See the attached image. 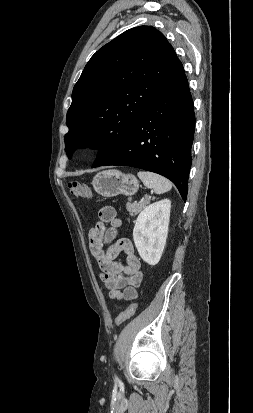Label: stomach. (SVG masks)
I'll list each match as a JSON object with an SVG mask.
<instances>
[{
	"label": "stomach",
	"mask_w": 253,
	"mask_h": 413,
	"mask_svg": "<svg viewBox=\"0 0 253 413\" xmlns=\"http://www.w3.org/2000/svg\"><path fill=\"white\" fill-rule=\"evenodd\" d=\"M92 185L101 196L110 198L120 194L131 196L139 189V181L132 174H124L119 170H105L97 173Z\"/></svg>",
	"instance_id": "0dacf381"
}]
</instances>
